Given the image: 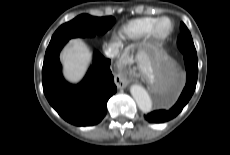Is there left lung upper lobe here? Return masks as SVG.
<instances>
[{
  "instance_id": "left-lung-upper-lobe-1",
  "label": "left lung upper lobe",
  "mask_w": 230,
  "mask_h": 155,
  "mask_svg": "<svg viewBox=\"0 0 230 155\" xmlns=\"http://www.w3.org/2000/svg\"><path fill=\"white\" fill-rule=\"evenodd\" d=\"M177 44L181 52L195 50L191 34L183 22L180 24V35Z\"/></svg>"
}]
</instances>
